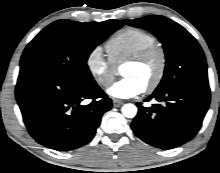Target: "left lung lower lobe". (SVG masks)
Wrapping results in <instances>:
<instances>
[{
	"instance_id": "left-lung-lower-lobe-1",
	"label": "left lung lower lobe",
	"mask_w": 220,
	"mask_h": 173,
	"mask_svg": "<svg viewBox=\"0 0 220 173\" xmlns=\"http://www.w3.org/2000/svg\"><path fill=\"white\" fill-rule=\"evenodd\" d=\"M164 101L143 107L131 128L145 143L161 149H172L191 140L199 131L210 104L209 84H183L165 91H154L146 100Z\"/></svg>"
}]
</instances>
